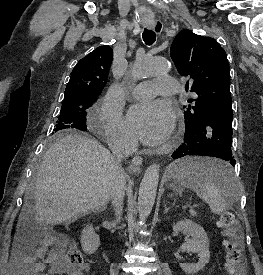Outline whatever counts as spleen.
<instances>
[{"mask_svg":"<svg viewBox=\"0 0 263 275\" xmlns=\"http://www.w3.org/2000/svg\"><path fill=\"white\" fill-rule=\"evenodd\" d=\"M176 184L193 190L214 214H222L239 197L240 182L227 162L208 157H187L173 162Z\"/></svg>","mask_w":263,"mask_h":275,"instance_id":"spleen-1","label":"spleen"}]
</instances>
